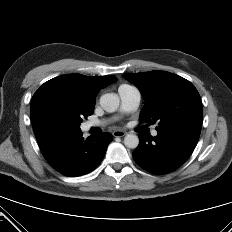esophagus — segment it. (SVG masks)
I'll return each instance as SVG.
<instances>
[{"label":"esophagus","instance_id":"esophagus-1","mask_svg":"<svg viewBox=\"0 0 232 232\" xmlns=\"http://www.w3.org/2000/svg\"><path fill=\"white\" fill-rule=\"evenodd\" d=\"M112 135L114 137H123L126 135V132H124L122 130H115V131H113Z\"/></svg>","mask_w":232,"mask_h":232}]
</instances>
